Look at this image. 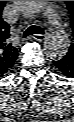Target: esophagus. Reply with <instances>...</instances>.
<instances>
[{"instance_id":"obj_1","label":"esophagus","mask_w":74,"mask_h":122,"mask_svg":"<svg viewBox=\"0 0 74 122\" xmlns=\"http://www.w3.org/2000/svg\"><path fill=\"white\" fill-rule=\"evenodd\" d=\"M33 38H34L35 40H37V41H44V40L47 38V36L44 35V34H43V35L37 34V35H34Z\"/></svg>"}]
</instances>
